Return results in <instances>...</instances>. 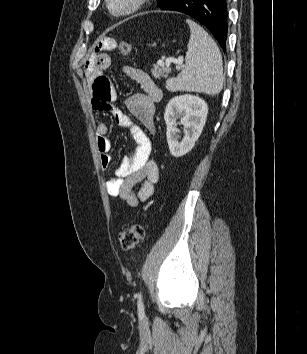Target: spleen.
<instances>
[{
  "label": "spleen",
  "mask_w": 307,
  "mask_h": 354,
  "mask_svg": "<svg viewBox=\"0 0 307 354\" xmlns=\"http://www.w3.org/2000/svg\"><path fill=\"white\" fill-rule=\"evenodd\" d=\"M191 35L187 45L185 68L166 82L169 91H193L215 96L223 87L222 56L215 41L198 24L186 20Z\"/></svg>",
  "instance_id": "1"
}]
</instances>
